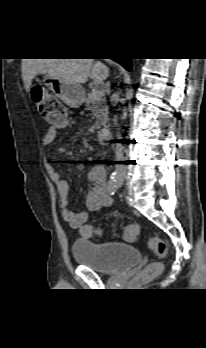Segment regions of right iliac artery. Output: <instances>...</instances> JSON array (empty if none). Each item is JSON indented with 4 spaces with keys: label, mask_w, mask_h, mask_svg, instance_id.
Instances as JSON below:
<instances>
[{
    "label": "right iliac artery",
    "mask_w": 206,
    "mask_h": 348,
    "mask_svg": "<svg viewBox=\"0 0 206 348\" xmlns=\"http://www.w3.org/2000/svg\"><path fill=\"white\" fill-rule=\"evenodd\" d=\"M116 177H115V173L113 174V176H111L110 181L108 182V186H107V192L109 193V195H114L116 190H117V184H116Z\"/></svg>",
    "instance_id": "obj_1"
}]
</instances>
